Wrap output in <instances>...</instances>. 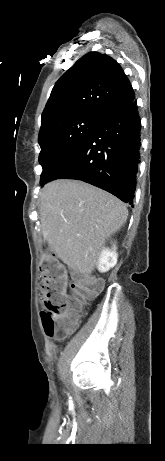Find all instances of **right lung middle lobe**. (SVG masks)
I'll return each instance as SVG.
<instances>
[{
  "label": "right lung middle lobe",
  "instance_id": "right-lung-middle-lobe-1",
  "mask_svg": "<svg viewBox=\"0 0 165 461\" xmlns=\"http://www.w3.org/2000/svg\"><path fill=\"white\" fill-rule=\"evenodd\" d=\"M100 120L92 116L59 120L39 134V162L43 168L41 185H44L59 166L83 144Z\"/></svg>",
  "mask_w": 165,
  "mask_h": 461
}]
</instances>
